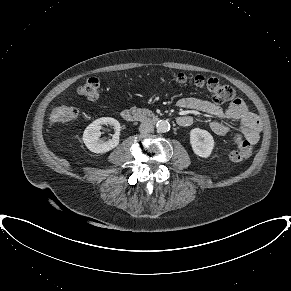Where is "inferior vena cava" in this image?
I'll list each match as a JSON object with an SVG mask.
<instances>
[{"label":"inferior vena cava","mask_w":291,"mask_h":291,"mask_svg":"<svg viewBox=\"0 0 291 291\" xmlns=\"http://www.w3.org/2000/svg\"><path fill=\"white\" fill-rule=\"evenodd\" d=\"M153 130L154 126L150 122H143L139 127V131L144 134L151 133Z\"/></svg>","instance_id":"inferior-vena-cava-1"}]
</instances>
